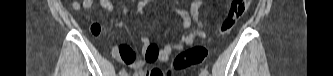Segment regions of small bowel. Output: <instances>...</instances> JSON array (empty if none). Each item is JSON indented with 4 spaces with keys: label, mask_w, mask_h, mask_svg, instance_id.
Instances as JSON below:
<instances>
[{
    "label": "small bowel",
    "mask_w": 333,
    "mask_h": 76,
    "mask_svg": "<svg viewBox=\"0 0 333 76\" xmlns=\"http://www.w3.org/2000/svg\"><path fill=\"white\" fill-rule=\"evenodd\" d=\"M97 3L102 9L107 12L114 10V4L111 0H83L81 3L73 1L71 6L74 11L80 12L83 10H89L93 5ZM146 1H140L138 4V10L142 12ZM202 4L201 0L193 1L189 10L173 7V11L181 17L183 22V29L185 32L175 43H168L159 48L157 44L150 41L147 37H142V59L135 60L136 55L132 51L133 46L131 44L116 45L112 49L113 56L119 60L130 65L134 70L136 76H168L164 68H159L158 63L167 62L177 51H182L188 46H191L196 39H205L206 33L203 28V24L199 19L198 10ZM196 24V29L188 31L191 24ZM93 39L101 38V26L98 22H93L90 27ZM146 63H151L150 68L146 72L143 71V67Z\"/></svg>",
    "instance_id": "obj_1"
}]
</instances>
